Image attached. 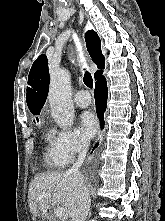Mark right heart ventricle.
Wrapping results in <instances>:
<instances>
[{"label":"right heart ventricle","instance_id":"e07e8e85","mask_svg":"<svg viewBox=\"0 0 165 221\" xmlns=\"http://www.w3.org/2000/svg\"><path fill=\"white\" fill-rule=\"evenodd\" d=\"M46 139H47V142L49 144V148L47 149L46 156H45L47 164L50 167H53V168H59V167L65 166L68 162L56 157L52 153V150H51V134H48Z\"/></svg>","mask_w":165,"mask_h":221}]
</instances>
